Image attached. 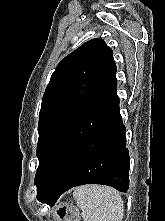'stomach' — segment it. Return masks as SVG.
<instances>
[{"label": "stomach", "instance_id": "0dacf381", "mask_svg": "<svg viewBox=\"0 0 165 221\" xmlns=\"http://www.w3.org/2000/svg\"><path fill=\"white\" fill-rule=\"evenodd\" d=\"M61 212H53V217H64L56 218V221H78L76 210L69 204H62L59 208Z\"/></svg>", "mask_w": 165, "mask_h": 221}]
</instances>
